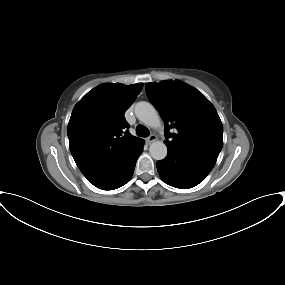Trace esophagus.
<instances>
[{"label": "esophagus", "mask_w": 285, "mask_h": 285, "mask_svg": "<svg viewBox=\"0 0 285 285\" xmlns=\"http://www.w3.org/2000/svg\"><path fill=\"white\" fill-rule=\"evenodd\" d=\"M156 140H157V136L155 134H151L149 137L146 138V141L148 144H151Z\"/></svg>", "instance_id": "obj_1"}]
</instances>
